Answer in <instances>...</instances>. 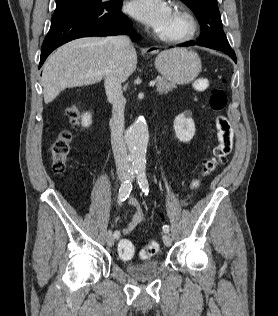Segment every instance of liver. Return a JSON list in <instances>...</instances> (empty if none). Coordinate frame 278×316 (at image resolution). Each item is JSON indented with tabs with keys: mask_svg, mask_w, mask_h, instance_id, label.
Listing matches in <instances>:
<instances>
[{
	"mask_svg": "<svg viewBox=\"0 0 278 316\" xmlns=\"http://www.w3.org/2000/svg\"><path fill=\"white\" fill-rule=\"evenodd\" d=\"M112 56L113 45L109 37H84L60 47L44 64L42 85L45 102H52L66 88L100 82ZM136 66V50L130 45L117 63L118 79L126 81Z\"/></svg>",
	"mask_w": 278,
	"mask_h": 316,
	"instance_id": "1",
	"label": "liver"
}]
</instances>
